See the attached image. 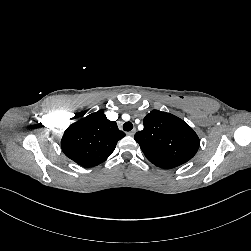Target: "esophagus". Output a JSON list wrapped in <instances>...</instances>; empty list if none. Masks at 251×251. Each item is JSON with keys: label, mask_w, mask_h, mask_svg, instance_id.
Returning a JSON list of instances; mask_svg holds the SVG:
<instances>
[{"label": "esophagus", "mask_w": 251, "mask_h": 251, "mask_svg": "<svg viewBox=\"0 0 251 251\" xmlns=\"http://www.w3.org/2000/svg\"><path fill=\"white\" fill-rule=\"evenodd\" d=\"M135 133H136V129L133 128V129H132L131 131H129L127 134H128L129 136H134Z\"/></svg>", "instance_id": "1"}]
</instances>
